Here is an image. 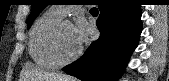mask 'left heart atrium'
<instances>
[{
	"instance_id": "39dd6f15",
	"label": "left heart atrium",
	"mask_w": 169,
	"mask_h": 81,
	"mask_svg": "<svg viewBox=\"0 0 169 81\" xmlns=\"http://www.w3.org/2000/svg\"><path fill=\"white\" fill-rule=\"evenodd\" d=\"M73 38L78 46L82 45L88 37V27L83 18H78L72 25Z\"/></svg>"
}]
</instances>
